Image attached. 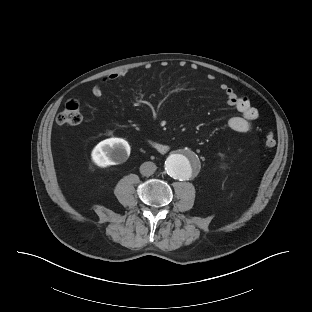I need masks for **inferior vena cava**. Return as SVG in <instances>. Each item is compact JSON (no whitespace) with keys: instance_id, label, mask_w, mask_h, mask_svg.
Masks as SVG:
<instances>
[{"instance_id":"1","label":"inferior vena cava","mask_w":312,"mask_h":312,"mask_svg":"<svg viewBox=\"0 0 312 312\" xmlns=\"http://www.w3.org/2000/svg\"><path fill=\"white\" fill-rule=\"evenodd\" d=\"M157 169V166L155 165V163L153 162H144L141 166H140V172L142 175L144 176H150L152 175Z\"/></svg>"}]
</instances>
